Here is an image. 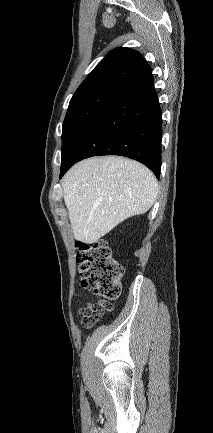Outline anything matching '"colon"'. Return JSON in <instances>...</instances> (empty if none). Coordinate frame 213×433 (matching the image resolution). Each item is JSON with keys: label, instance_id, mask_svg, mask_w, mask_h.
<instances>
[{"label": "colon", "instance_id": "obj_1", "mask_svg": "<svg viewBox=\"0 0 213 433\" xmlns=\"http://www.w3.org/2000/svg\"><path fill=\"white\" fill-rule=\"evenodd\" d=\"M76 247L82 286L105 300L81 309L83 323L92 325L111 309L109 302L120 297L125 269L104 240L93 244L79 242Z\"/></svg>", "mask_w": 213, "mask_h": 433}]
</instances>
